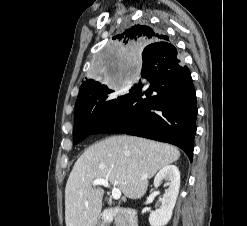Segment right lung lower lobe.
<instances>
[{"label":"right lung lower lobe","mask_w":247,"mask_h":226,"mask_svg":"<svg viewBox=\"0 0 247 226\" xmlns=\"http://www.w3.org/2000/svg\"><path fill=\"white\" fill-rule=\"evenodd\" d=\"M142 57L141 76L150 87L134 85L93 134L126 133L171 143L192 161L197 106L190 71L168 42L147 45Z\"/></svg>","instance_id":"obj_1"}]
</instances>
